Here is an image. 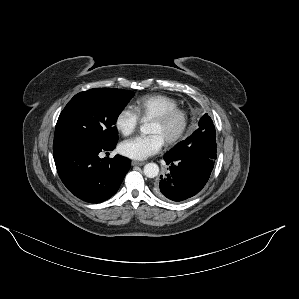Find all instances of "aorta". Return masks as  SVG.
<instances>
[{"label": "aorta", "mask_w": 299, "mask_h": 299, "mask_svg": "<svg viewBox=\"0 0 299 299\" xmlns=\"http://www.w3.org/2000/svg\"><path fill=\"white\" fill-rule=\"evenodd\" d=\"M140 131L144 134H149L151 132L150 125L145 123L140 126ZM144 174L148 178H154L159 173V167L156 163H148L144 166Z\"/></svg>", "instance_id": "1"}]
</instances>
